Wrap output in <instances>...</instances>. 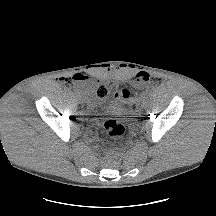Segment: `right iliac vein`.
Masks as SVG:
<instances>
[{
    "mask_svg": "<svg viewBox=\"0 0 216 216\" xmlns=\"http://www.w3.org/2000/svg\"><path fill=\"white\" fill-rule=\"evenodd\" d=\"M78 100H79L80 102H83V98H82L81 95H78Z\"/></svg>",
    "mask_w": 216,
    "mask_h": 216,
    "instance_id": "right-iliac-vein-1",
    "label": "right iliac vein"
}]
</instances>
